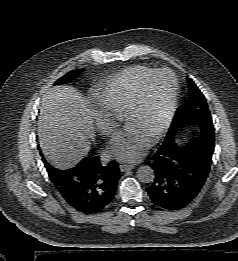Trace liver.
Segmentation results:
<instances>
[{"mask_svg": "<svg viewBox=\"0 0 238 261\" xmlns=\"http://www.w3.org/2000/svg\"><path fill=\"white\" fill-rule=\"evenodd\" d=\"M38 136L43 154L58 167H72L87 154L95 139L93 115L78 90L55 86L44 94Z\"/></svg>", "mask_w": 238, "mask_h": 261, "instance_id": "obj_1", "label": "liver"}]
</instances>
